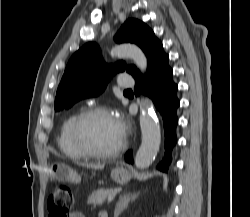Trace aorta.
<instances>
[{
    "label": "aorta",
    "instance_id": "obj_1",
    "mask_svg": "<svg viewBox=\"0 0 250 217\" xmlns=\"http://www.w3.org/2000/svg\"><path fill=\"white\" fill-rule=\"evenodd\" d=\"M112 53L116 57L132 59L141 72L147 68V58L136 45H118L113 48ZM140 127L142 142L135 156V165L139 169H144L149 167L155 159L161 142L159 122L149 102L141 106Z\"/></svg>",
    "mask_w": 250,
    "mask_h": 217
}]
</instances>
